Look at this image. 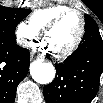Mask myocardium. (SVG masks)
<instances>
[{
  "label": "myocardium",
  "mask_w": 103,
  "mask_h": 103,
  "mask_svg": "<svg viewBox=\"0 0 103 103\" xmlns=\"http://www.w3.org/2000/svg\"><path fill=\"white\" fill-rule=\"evenodd\" d=\"M70 14H77L80 19V30L75 38V40L63 51L60 52H51L53 57L57 59H63L68 56H70L80 45L82 42L85 32H86V20L84 14L75 8H69L63 12H61L59 15H57L54 19H52L43 29H42V37H45L47 33L52 31L54 28H56L64 18L69 16Z\"/></svg>",
  "instance_id": "obj_1"
}]
</instances>
